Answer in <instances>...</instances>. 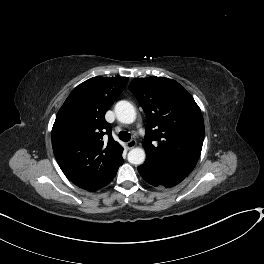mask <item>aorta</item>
<instances>
[{
  "label": "aorta",
  "instance_id": "obj_1",
  "mask_svg": "<svg viewBox=\"0 0 264 264\" xmlns=\"http://www.w3.org/2000/svg\"><path fill=\"white\" fill-rule=\"evenodd\" d=\"M117 119L125 124H131L136 119L134 106L125 100L116 103L114 108ZM146 154L140 147L133 148L128 153V161L133 165H140L145 161Z\"/></svg>",
  "mask_w": 264,
  "mask_h": 264
}]
</instances>
